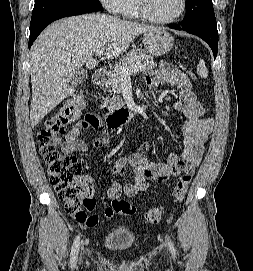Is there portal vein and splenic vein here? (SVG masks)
Returning <instances> with one entry per match:
<instances>
[{"label":"portal vein and splenic vein","instance_id":"1","mask_svg":"<svg viewBox=\"0 0 253 271\" xmlns=\"http://www.w3.org/2000/svg\"><path fill=\"white\" fill-rule=\"evenodd\" d=\"M103 53H104V48L98 49L94 54L96 56H101V55H103ZM142 69H143V65L142 64H138V65H133L131 67L122 68L121 69L122 78H127L131 74L136 73L138 71H141Z\"/></svg>","mask_w":253,"mask_h":271}]
</instances>
